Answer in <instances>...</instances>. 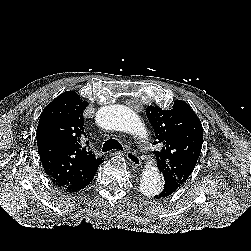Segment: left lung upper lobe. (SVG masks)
<instances>
[{
  "label": "left lung upper lobe",
  "instance_id": "1",
  "mask_svg": "<svg viewBox=\"0 0 251 251\" xmlns=\"http://www.w3.org/2000/svg\"><path fill=\"white\" fill-rule=\"evenodd\" d=\"M146 114L156 135L154 144L161 146L160 151H154L157 167L164 180L183 185L201 153L203 128L199 118L181 100H176L169 110L148 106Z\"/></svg>",
  "mask_w": 251,
  "mask_h": 251
}]
</instances>
